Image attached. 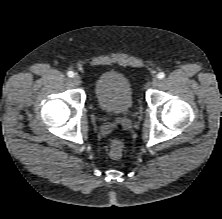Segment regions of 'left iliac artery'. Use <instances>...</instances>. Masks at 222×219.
<instances>
[{
    "label": "left iliac artery",
    "instance_id": "left-iliac-artery-1",
    "mask_svg": "<svg viewBox=\"0 0 222 219\" xmlns=\"http://www.w3.org/2000/svg\"><path fill=\"white\" fill-rule=\"evenodd\" d=\"M157 77H158L159 79H163V78L165 77V74H164L163 72H160V73L157 75Z\"/></svg>",
    "mask_w": 222,
    "mask_h": 219
}]
</instances>
